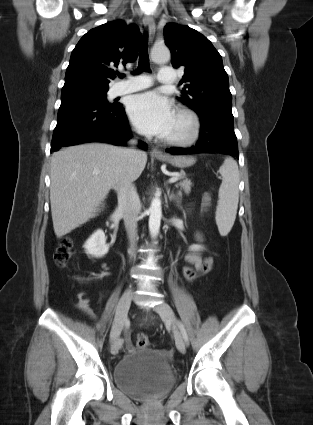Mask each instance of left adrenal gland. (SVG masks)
I'll use <instances>...</instances> for the list:
<instances>
[{
  "instance_id": "obj_1",
  "label": "left adrenal gland",
  "mask_w": 313,
  "mask_h": 425,
  "mask_svg": "<svg viewBox=\"0 0 313 425\" xmlns=\"http://www.w3.org/2000/svg\"><path fill=\"white\" fill-rule=\"evenodd\" d=\"M166 190H167V195H168L169 201H172V200L176 201L178 206H179V203H180L179 196L174 194V192L170 193V188H168V186L166 187Z\"/></svg>"
}]
</instances>
